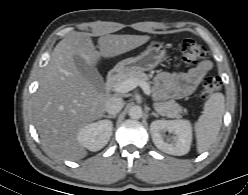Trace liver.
<instances>
[{
  "mask_svg": "<svg viewBox=\"0 0 248 195\" xmlns=\"http://www.w3.org/2000/svg\"><path fill=\"white\" fill-rule=\"evenodd\" d=\"M90 36L73 32L56 45L33 102L40 138L60 158L78 160L87 155L77 140L78 132L103 117L109 99L79 73L74 57L95 67L101 57L121 55L150 39L148 35H105L98 39L100 51H96Z\"/></svg>",
  "mask_w": 248,
  "mask_h": 195,
  "instance_id": "liver-1",
  "label": "liver"
}]
</instances>
